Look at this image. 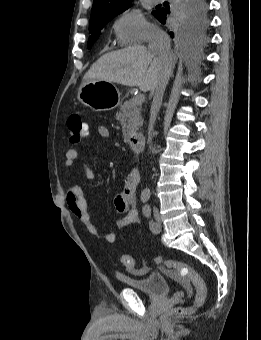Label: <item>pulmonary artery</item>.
<instances>
[{"label": "pulmonary artery", "mask_w": 261, "mask_h": 340, "mask_svg": "<svg viewBox=\"0 0 261 340\" xmlns=\"http://www.w3.org/2000/svg\"><path fill=\"white\" fill-rule=\"evenodd\" d=\"M161 0H153L154 3H158L160 2Z\"/></svg>", "instance_id": "1"}]
</instances>
